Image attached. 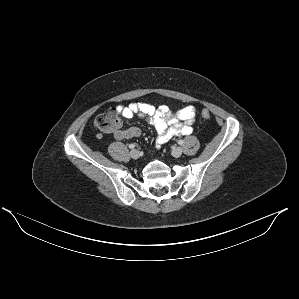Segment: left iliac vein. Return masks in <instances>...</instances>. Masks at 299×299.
<instances>
[{"label":"left iliac vein","instance_id":"obj_1","mask_svg":"<svg viewBox=\"0 0 299 299\" xmlns=\"http://www.w3.org/2000/svg\"><path fill=\"white\" fill-rule=\"evenodd\" d=\"M182 153H183V150L180 147H174L172 149V155L176 158L180 157L182 155Z\"/></svg>","mask_w":299,"mask_h":299}]
</instances>
